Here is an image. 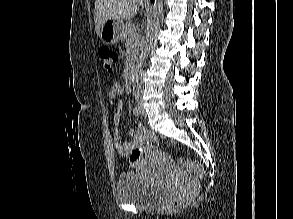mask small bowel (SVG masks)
<instances>
[{"label": "small bowel", "mask_w": 293, "mask_h": 219, "mask_svg": "<svg viewBox=\"0 0 293 219\" xmlns=\"http://www.w3.org/2000/svg\"><path fill=\"white\" fill-rule=\"evenodd\" d=\"M123 88L115 84L111 87V89L108 92V99L113 105V122L115 125L114 128V144L117 152L122 157H128L130 152L140 146L144 140H145V133L147 129L143 125H139L137 130H131L130 135L132 137V140L129 142H123L121 139V135L119 132V125L122 120V101H118V96L122 95Z\"/></svg>", "instance_id": "small-bowel-1"}]
</instances>
